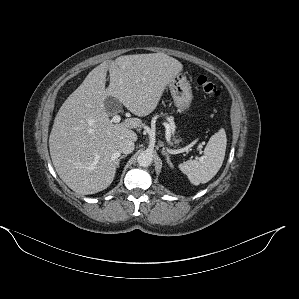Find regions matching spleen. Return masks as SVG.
I'll use <instances>...</instances> for the list:
<instances>
[{"label": "spleen", "instance_id": "spleen-1", "mask_svg": "<svg viewBox=\"0 0 299 299\" xmlns=\"http://www.w3.org/2000/svg\"><path fill=\"white\" fill-rule=\"evenodd\" d=\"M227 138L222 128L211 136L198 160H188L179 164V169L187 175L193 185L210 181L219 171L225 157Z\"/></svg>", "mask_w": 299, "mask_h": 299}]
</instances>
